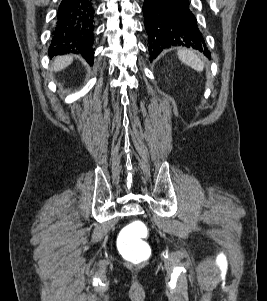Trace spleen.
Segmentation results:
<instances>
[{
	"label": "spleen",
	"instance_id": "obj_1",
	"mask_svg": "<svg viewBox=\"0 0 267 301\" xmlns=\"http://www.w3.org/2000/svg\"><path fill=\"white\" fill-rule=\"evenodd\" d=\"M178 58L184 64L190 66L194 70L201 72L204 69V63L201 58L190 50L182 49L177 52Z\"/></svg>",
	"mask_w": 267,
	"mask_h": 301
}]
</instances>
